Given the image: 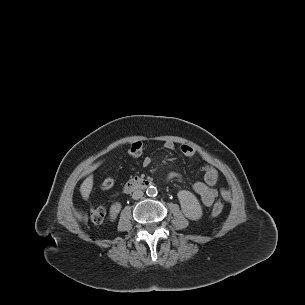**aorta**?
<instances>
[{
	"instance_id": "obj_1",
	"label": "aorta",
	"mask_w": 305,
	"mask_h": 305,
	"mask_svg": "<svg viewBox=\"0 0 305 305\" xmlns=\"http://www.w3.org/2000/svg\"><path fill=\"white\" fill-rule=\"evenodd\" d=\"M146 194L148 196H156L157 195V188L154 186H149L146 190Z\"/></svg>"
}]
</instances>
